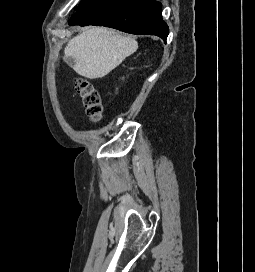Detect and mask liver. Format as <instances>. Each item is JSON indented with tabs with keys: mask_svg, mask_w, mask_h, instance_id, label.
<instances>
[{
	"mask_svg": "<svg viewBox=\"0 0 255 272\" xmlns=\"http://www.w3.org/2000/svg\"><path fill=\"white\" fill-rule=\"evenodd\" d=\"M138 48L137 41L105 27H92L72 38L64 49L73 69L88 79L105 77Z\"/></svg>",
	"mask_w": 255,
	"mask_h": 272,
	"instance_id": "1",
	"label": "liver"
}]
</instances>
